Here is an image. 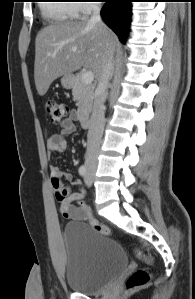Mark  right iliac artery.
Instances as JSON below:
<instances>
[{
    "instance_id": "82829eb1",
    "label": "right iliac artery",
    "mask_w": 195,
    "mask_h": 299,
    "mask_svg": "<svg viewBox=\"0 0 195 299\" xmlns=\"http://www.w3.org/2000/svg\"><path fill=\"white\" fill-rule=\"evenodd\" d=\"M87 169L85 165L80 166L79 168V174L84 177L86 175Z\"/></svg>"
}]
</instances>
